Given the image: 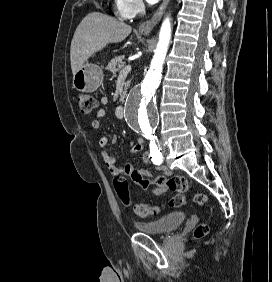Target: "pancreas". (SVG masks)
Segmentation results:
<instances>
[{"mask_svg":"<svg viewBox=\"0 0 272 282\" xmlns=\"http://www.w3.org/2000/svg\"><path fill=\"white\" fill-rule=\"evenodd\" d=\"M125 67V61H124V56H118V57H115V59H112L107 67H106V70L110 71L112 74H116L118 73L119 71H121L122 69H124ZM130 86V81H127L126 84H125V92L127 91V89L129 88ZM124 95L121 96V98H123Z\"/></svg>","mask_w":272,"mask_h":282,"instance_id":"obj_1","label":"pancreas"}]
</instances>
